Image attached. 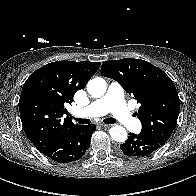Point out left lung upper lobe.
<instances>
[{
  "label": "left lung upper lobe",
  "instance_id": "5c2ea615",
  "mask_svg": "<svg viewBox=\"0 0 196 196\" xmlns=\"http://www.w3.org/2000/svg\"><path fill=\"white\" fill-rule=\"evenodd\" d=\"M101 74L120 83L133 95L140 108V134L160 145L165 144L177 124L180 100L173 81L158 67L134 58L104 62Z\"/></svg>",
  "mask_w": 196,
  "mask_h": 196
}]
</instances>
